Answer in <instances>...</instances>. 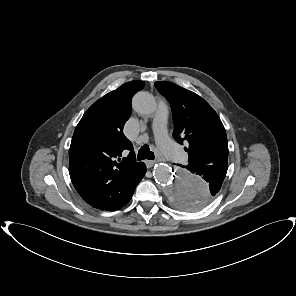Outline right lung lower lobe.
Here are the masks:
<instances>
[{
  "instance_id": "obj_1",
  "label": "right lung lower lobe",
  "mask_w": 296,
  "mask_h": 296,
  "mask_svg": "<svg viewBox=\"0 0 296 296\" xmlns=\"http://www.w3.org/2000/svg\"><path fill=\"white\" fill-rule=\"evenodd\" d=\"M146 173V165L141 162L140 165L136 168L135 172H134V176H133V187L135 190L136 185L141 181V179L143 178V176ZM133 190V192H134Z\"/></svg>"
}]
</instances>
